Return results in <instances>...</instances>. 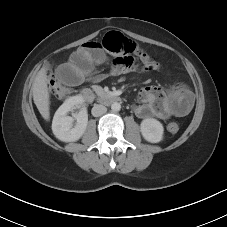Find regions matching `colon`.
<instances>
[{"instance_id":"1","label":"colon","mask_w":227,"mask_h":227,"mask_svg":"<svg viewBox=\"0 0 227 227\" xmlns=\"http://www.w3.org/2000/svg\"><path fill=\"white\" fill-rule=\"evenodd\" d=\"M99 42L103 49L115 55L116 57H127L131 56L134 58V55L137 56L141 63L142 67L147 70H158L161 68L160 63L157 59L145 52L140 48L134 41L123 36L119 32H110L104 36V38ZM48 86L52 95L57 99H63L68 96L72 89L70 87H65L59 83L55 77H49ZM181 123L178 119H174L168 124V130L172 133L179 131Z\"/></svg>"}]
</instances>
